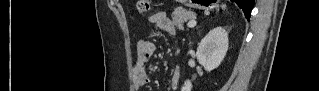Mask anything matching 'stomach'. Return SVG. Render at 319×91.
I'll use <instances>...</instances> for the list:
<instances>
[{
    "mask_svg": "<svg viewBox=\"0 0 319 91\" xmlns=\"http://www.w3.org/2000/svg\"><path fill=\"white\" fill-rule=\"evenodd\" d=\"M214 2L216 1H192L188 3V6L190 7H197V8H203V9H208L214 7Z\"/></svg>",
    "mask_w": 319,
    "mask_h": 91,
    "instance_id": "1",
    "label": "stomach"
}]
</instances>
